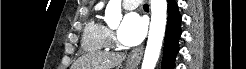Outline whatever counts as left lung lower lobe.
<instances>
[{
  "instance_id": "1",
  "label": "left lung lower lobe",
  "mask_w": 246,
  "mask_h": 69,
  "mask_svg": "<svg viewBox=\"0 0 246 69\" xmlns=\"http://www.w3.org/2000/svg\"><path fill=\"white\" fill-rule=\"evenodd\" d=\"M168 14L162 69L174 68L175 57L179 50L178 40L181 35V15L179 14L177 2L175 0H168Z\"/></svg>"
}]
</instances>
